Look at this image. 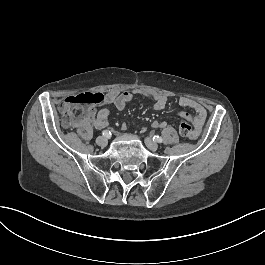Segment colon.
<instances>
[{
	"label": "colon",
	"mask_w": 265,
	"mask_h": 265,
	"mask_svg": "<svg viewBox=\"0 0 265 265\" xmlns=\"http://www.w3.org/2000/svg\"><path fill=\"white\" fill-rule=\"evenodd\" d=\"M104 102V95L101 92L76 93L67 100L60 103V123L69 127L77 116V109L85 106L101 105ZM180 135L185 139H193L196 136L191 121H183L180 124Z\"/></svg>",
	"instance_id": "5ec220e1"
}]
</instances>
